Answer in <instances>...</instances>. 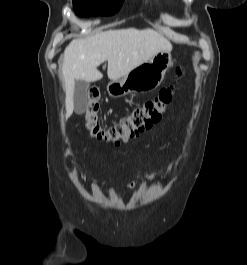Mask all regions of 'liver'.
I'll return each instance as SVG.
<instances>
[{
    "label": "liver",
    "instance_id": "6515ba94",
    "mask_svg": "<svg viewBox=\"0 0 247 265\" xmlns=\"http://www.w3.org/2000/svg\"><path fill=\"white\" fill-rule=\"evenodd\" d=\"M172 50V44L153 29H116L99 32L69 43L63 54L62 73L66 93V119L74 108L77 80L95 82L103 78L97 67L108 62L107 75L117 81L160 51Z\"/></svg>",
    "mask_w": 247,
    "mask_h": 265
}]
</instances>
